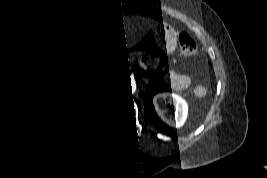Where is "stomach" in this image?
Returning a JSON list of instances; mask_svg holds the SVG:
<instances>
[{
    "label": "stomach",
    "instance_id": "stomach-1",
    "mask_svg": "<svg viewBox=\"0 0 267 178\" xmlns=\"http://www.w3.org/2000/svg\"><path fill=\"white\" fill-rule=\"evenodd\" d=\"M147 38L164 54H172L177 46V34L171 26L166 24H158L152 28L141 39V42Z\"/></svg>",
    "mask_w": 267,
    "mask_h": 178
}]
</instances>
